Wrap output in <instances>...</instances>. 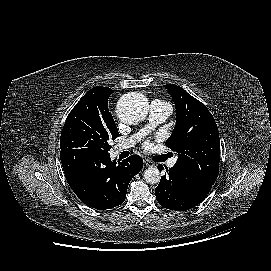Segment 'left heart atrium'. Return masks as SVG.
Listing matches in <instances>:
<instances>
[{
	"label": "left heart atrium",
	"instance_id": "39dd6f15",
	"mask_svg": "<svg viewBox=\"0 0 271 271\" xmlns=\"http://www.w3.org/2000/svg\"><path fill=\"white\" fill-rule=\"evenodd\" d=\"M145 146L148 147V143H146Z\"/></svg>",
	"mask_w": 271,
	"mask_h": 271
}]
</instances>
